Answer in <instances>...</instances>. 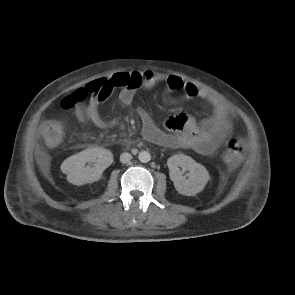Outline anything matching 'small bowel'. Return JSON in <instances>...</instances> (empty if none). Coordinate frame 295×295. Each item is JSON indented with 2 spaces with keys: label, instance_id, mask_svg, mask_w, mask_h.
Listing matches in <instances>:
<instances>
[{
  "label": "small bowel",
  "instance_id": "obj_1",
  "mask_svg": "<svg viewBox=\"0 0 295 295\" xmlns=\"http://www.w3.org/2000/svg\"><path fill=\"white\" fill-rule=\"evenodd\" d=\"M137 75L139 83L120 91L119 99L125 105L133 103L140 90L150 89L159 83H165L169 92H182L188 98H196L208 103L212 108L211 117L197 123L185 114L177 113L169 116L163 128H159L151 120L147 111L137 108V113L143 121V136L146 140L169 148L191 149L202 155L214 153L233 131V121L228 106L218 97L191 82L184 81L176 75L156 73L143 70L131 73ZM100 80L88 83L84 87L93 88ZM110 93L93 92L87 104L79 103L75 116L81 125H95L99 128L116 125L115 120H104L101 108Z\"/></svg>",
  "mask_w": 295,
  "mask_h": 295
}]
</instances>
